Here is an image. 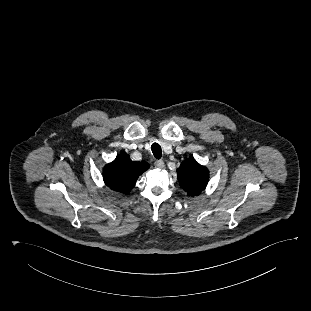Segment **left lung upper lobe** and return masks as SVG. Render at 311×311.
<instances>
[{
	"mask_svg": "<svg viewBox=\"0 0 311 311\" xmlns=\"http://www.w3.org/2000/svg\"><path fill=\"white\" fill-rule=\"evenodd\" d=\"M180 186L189 196H196L203 191L209 179V171L198 164L194 158L184 160L177 169Z\"/></svg>",
	"mask_w": 311,
	"mask_h": 311,
	"instance_id": "obj_1",
	"label": "left lung upper lobe"
}]
</instances>
